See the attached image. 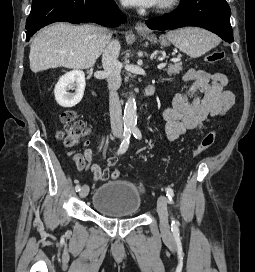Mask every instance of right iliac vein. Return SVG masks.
<instances>
[{"instance_id": "obj_1", "label": "right iliac vein", "mask_w": 255, "mask_h": 272, "mask_svg": "<svg viewBox=\"0 0 255 272\" xmlns=\"http://www.w3.org/2000/svg\"><path fill=\"white\" fill-rule=\"evenodd\" d=\"M89 193V187L88 185H83L80 189L79 196L80 198H85Z\"/></svg>"}]
</instances>
